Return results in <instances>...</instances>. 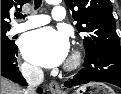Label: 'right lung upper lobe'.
<instances>
[{"label": "right lung upper lobe", "mask_w": 121, "mask_h": 94, "mask_svg": "<svg viewBox=\"0 0 121 94\" xmlns=\"http://www.w3.org/2000/svg\"><path fill=\"white\" fill-rule=\"evenodd\" d=\"M30 0H1V30L10 29V10L22 7Z\"/></svg>", "instance_id": "cb5924a9"}]
</instances>
